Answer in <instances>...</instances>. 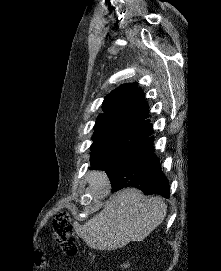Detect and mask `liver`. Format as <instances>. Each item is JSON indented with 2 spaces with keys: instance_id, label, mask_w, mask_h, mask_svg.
Instances as JSON below:
<instances>
[{
  "instance_id": "obj_1",
  "label": "liver",
  "mask_w": 221,
  "mask_h": 271,
  "mask_svg": "<svg viewBox=\"0 0 221 271\" xmlns=\"http://www.w3.org/2000/svg\"><path fill=\"white\" fill-rule=\"evenodd\" d=\"M87 179L93 201L99 207L111 189L109 177L105 171H89ZM165 215L166 205L161 197H146L140 189L124 187L76 231L93 249H117L129 241H143Z\"/></svg>"
}]
</instances>
